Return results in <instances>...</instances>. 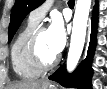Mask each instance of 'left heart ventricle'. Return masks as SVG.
<instances>
[{
	"instance_id": "obj_1",
	"label": "left heart ventricle",
	"mask_w": 107,
	"mask_h": 89,
	"mask_svg": "<svg viewBox=\"0 0 107 89\" xmlns=\"http://www.w3.org/2000/svg\"><path fill=\"white\" fill-rule=\"evenodd\" d=\"M38 51L44 62H51L57 56V53L51 46L48 31L41 33L38 40Z\"/></svg>"
}]
</instances>
